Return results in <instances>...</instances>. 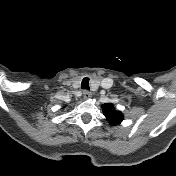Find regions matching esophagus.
I'll return each instance as SVG.
<instances>
[{"mask_svg":"<svg viewBox=\"0 0 176 176\" xmlns=\"http://www.w3.org/2000/svg\"><path fill=\"white\" fill-rule=\"evenodd\" d=\"M91 96H92V94L90 91H88V90L83 91V98L84 99H89V98H91Z\"/></svg>","mask_w":176,"mask_h":176,"instance_id":"1","label":"esophagus"}]
</instances>
